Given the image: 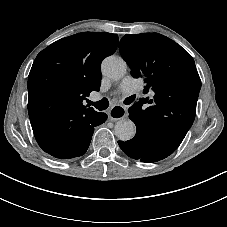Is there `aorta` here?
<instances>
[{"mask_svg": "<svg viewBox=\"0 0 227 227\" xmlns=\"http://www.w3.org/2000/svg\"><path fill=\"white\" fill-rule=\"evenodd\" d=\"M102 73L112 80H119L127 70L126 62L117 56H108L101 65ZM115 135L122 141L130 140L136 133V126L131 120H119L114 127Z\"/></svg>", "mask_w": 227, "mask_h": 227, "instance_id": "762f6f07", "label": "aorta"}]
</instances>
